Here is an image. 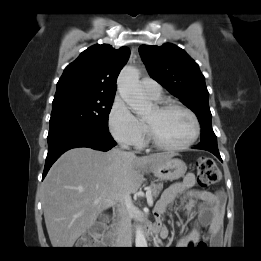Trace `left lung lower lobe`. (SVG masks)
Here are the masks:
<instances>
[{
  "label": "left lung lower lobe",
  "instance_id": "left-lung-lower-lobe-1",
  "mask_svg": "<svg viewBox=\"0 0 261 261\" xmlns=\"http://www.w3.org/2000/svg\"><path fill=\"white\" fill-rule=\"evenodd\" d=\"M195 149L207 150L213 153L220 161H222L218 151L217 140H204L194 147Z\"/></svg>",
  "mask_w": 261,
  "mask_h": 261
}]
</instances>
